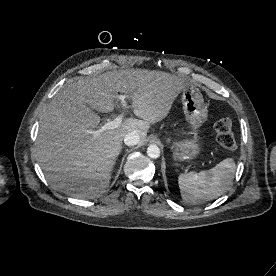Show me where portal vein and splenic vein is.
<instances>
[{
	"mask_svg": "<svg viewBox=\"0 0 276 276\" xmlns=\"http://www.w3.org/2000/svg\"><path fill=\"white\" fill-rule=\"evenodd\" d=\"M118 98L121 100V103H122V106H123L124 110H127L129 108V106H128V104L125 101L126 96L125 95H120ZM123 116H124V113H122L121 115L117 116L114 120L106 122L98 130L89 131V133L92 134L94 136V138H97L104 131L115 129V128H117L121 124V122L123 120Z\"/></svg>",
	"mask_w": 276,
	"mask_h": 276,
	"instance_id": "portal-vein-and-splenic-vein-1",
	"label": "portal vein and splenic vein"
}]
</instances>
